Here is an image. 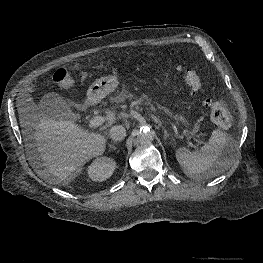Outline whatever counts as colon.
Here are the masks:
<instances>
[{"mask_svg":"<svg viewBox=\"0 0 263 263\" xmlns=\"http://www.w3.org/2000/svg\"><path fill=\"white\" fill-rule=\"evenodd\" d=\"M104 65H99L102 68ZM179 71L182 72L185 82L189 90L196 93L201 88V82L198 75L189 69L179 67ZM53 80L59 84L69 85L72 83L71 76L64 69H59L55 72ZM206 105L211 110L212 121L220 127H228L230 125V115L224 104L218 100H207Z\"/></svg>","mask_w":263,"mask_h":263,"instance_id":"colon-1","label":"colon"}]
</instances>
